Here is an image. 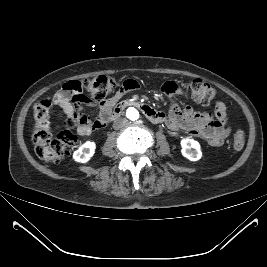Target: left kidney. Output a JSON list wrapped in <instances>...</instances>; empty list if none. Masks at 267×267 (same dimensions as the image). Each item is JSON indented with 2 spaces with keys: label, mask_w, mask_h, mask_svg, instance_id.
<instances>
[{
  "label": "left kidney",
  "mask_w": 267,
  "mask_h": 267,
  "mask_svg": "<svg viewBox=\"0 0 267 267\" xmlns=\"http://www.w3.org/2000/svg\"><path fill=\"white\" fill-rule=\"evenodd\" d=\"M181 153L184 157L189 159L190 161H197L201 158L202 153L200 149V144L198 141L194 139H182L181 140Z\"/></svg>",
  "instance_id": "5707ae66"
}]
</instances>
